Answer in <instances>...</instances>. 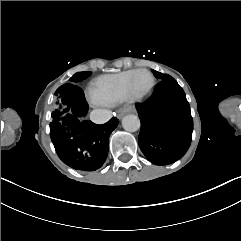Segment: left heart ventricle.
Returning <instances> with one entry per match:
<instances>
[{"mask_svg": "<svg viewBox=\"0 0 241 241\" xmlns=\"http://www.w3.org/2000/svg\"><path fill=\"white\" fill-rule=\"evenodd\" d=\"M150 78L147 75H142L140 78L128 83L127 90L132 96L142 95L145 92V88L148 87Z\"/></svg>", "mask_w": 241, "mask_h": 241, "instance_id": "obj_1", "label": "left heart ventricle"}]
</instances>
